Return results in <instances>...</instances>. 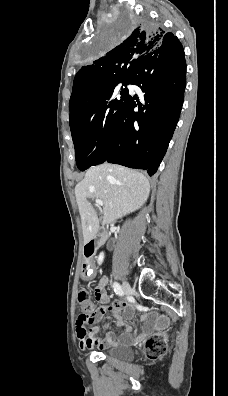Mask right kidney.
<instances>
[{"label":"right kidney","mask_w":228,"mask_h":396,"mask_svg":"<svg viewBox=\"0 0 228 396\" xmlns=\"http://www.w3.org/2000/svg\"><path fill=\"white\" fill-rule=\"evenodd\" d=\"M104 259V253H100L99 257H98V264L101 265Z\"/></svg>","instance_id":"obj_1"}]
</instances>
